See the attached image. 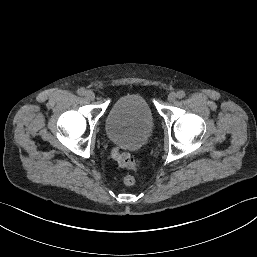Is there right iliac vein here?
<instances>
[{
  "mask_svg": "<svg viewBox=\"0 0 257 257\" xmlns=\"http://www.w3.org/2000/svg\"><path fill=\"white\" fill-rule=\"evenodd\" d=\"M85 97H86L88 100L93 101V100L95 99V94H94L93 91L87 90V91L85 92Z\"/></svg>",
  "mask_w": 257,
  "mask_h": 257,
  "instance_id": "1",
  "label": "right iliac vein"
}]
</instances>
